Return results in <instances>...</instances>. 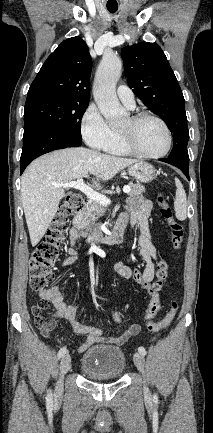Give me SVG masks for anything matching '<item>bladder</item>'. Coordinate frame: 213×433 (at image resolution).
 Wrapping results in <instances>:
<instances>
[{
	"label": "bladder",
	"mask_w": 213,
	"mask_h": 433,
	"mask_svg": "<svg viewBox=\"0 0 213 433\" xmlns=\"http://www.w3.org/2000/svg\"><path fill=\"white\" fill-rule=\"evenodd\" d=\"M82 373L92 379H115L126 369L123 350L115 345L99 344L90 347L81 357Z\"/></svg>",
	"instance_id": "bladder-1"
}]
</instances>
